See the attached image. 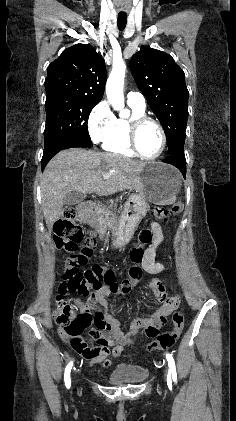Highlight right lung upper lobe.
<instances>
[{"label": "right lung upper lobe", "instance_id": "obj_1", "mask_svg": "<svg viewBox=\"0 0 236 421\" xmlns=\"http://www.w3.org/2000/svg\"><path fill=\"white\" fill-rule=\"evenodd\" d=\"M106 79L102 56L90 45L76 44L49 65L46 94L63 92L100 101Z\"/></svg>", "mask_w": 236, "mask_h": 421}]
</instances>
